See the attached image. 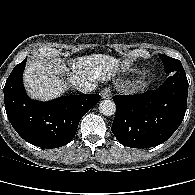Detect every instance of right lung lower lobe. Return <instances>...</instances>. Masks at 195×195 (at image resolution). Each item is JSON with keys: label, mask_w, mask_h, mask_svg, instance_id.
I'll return each mask as SVG.
<instances>
[{"label": "right lung lower lobe", "mask_w": 195, "mask_h": 195, "mask_svg": "<svg viewBox=\"0 0 195 195\" xmlns=\"http://www.w3.org/2000/svg\"><path fill=\"white\" fill-rule=\"evenodd\" d=\"M25 65L26 59L17 64L4 86L5 109L11 125L35 146L52 149L68 144L81 118L100 100V95L64 96L49 102L32 100L22 82Z\"/></svg>", "instance_id": "obj_1"}]
</instances>
